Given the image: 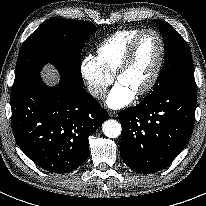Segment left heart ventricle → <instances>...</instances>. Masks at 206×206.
I'll list each match as a JSON object with an SVG mask.
<instances>
[{"label": "left heart ventricle", "instance_id": "b2bd125f", "mask_svg": "<svg viewBox=\"0 0 206 206\" xmlns=\"http://www.w3.org/2000/svg\"><path fill=\"white\" fill-rule=\"evenodd\" d=\"M160 44L156 35L148 33L140 40L133 61L118 82L124 84L135 94L150 80L156 67Z\"/></svg>", "mask_w": 206, "mask_h": 206}]
</instances>
